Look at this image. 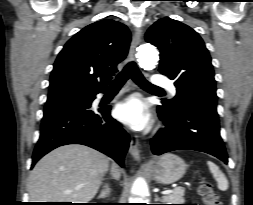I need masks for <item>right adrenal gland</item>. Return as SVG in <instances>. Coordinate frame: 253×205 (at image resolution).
Returning <instances> with one entry per match:
<instances>
[{"instance_id": "right-adrenal-gland-1", "label": "right adrenal gland", "mask_w": 253, "mask_h": 205, "mask_svg": "<svg viewBox=\"0 0 253 205\" xmlns=\"http://www.w3.org/2000/svg\"><path fill=\"white\" fill-rule=\"evenodd\" d=\"M109 193H110V188H109L108 184H105L104 189L102 190V192L98 196V199L106 198Z\"/></svg>"}]
</instances>
